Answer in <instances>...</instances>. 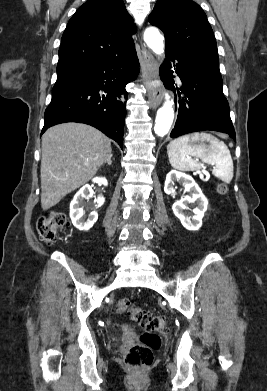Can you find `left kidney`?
Returning <instances> with one entry per match:
<instances>
[{"instance_id": "obj_1", "label": "left kidney", "mask_w": 267, "mask_h": 391, "mask_svg": "<svg viewBox=\"0 0 267 391\" xmlns=\"http://www.w3.org/2000/svg\"><path fill=\"white\" fill-rule=\"evenodd\" d=\"M175 181L183 182L184 190L190 192V196H185L181 200L176 201L172 206L173 213L186 229L196 231L202 225V218L207 210L208 200L191 176L176 170H171L166 176L164 186L166 194L175 193ZM187 203H193L196 206L193 209V216H188L184 213V210L187 209Z\"/></svg>"}]
</instances>
